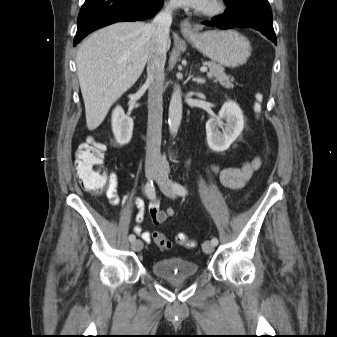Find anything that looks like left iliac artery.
Masks as SVG:
<instances>
[{
  "mask_svg": "<svg viewBox=\"0 0 337 337\" xmlns=\"http://www.w3.org/2000/svg\"><path fill=\"white\" fill-rule=\"evenodd\" d=\"M173 190L175 191V193H177L178 195H186L187 194V190L186 188L181 185L180 183L174 182L173 184ZM212 244L214 246H216L218 244V239L216 237H213L211 240Z\"/></svg>",
  "mask_w": 337,
  "mask_h": 337,
  "instance_id": "obj_1",
  "label": "left iliac artery"
}]
</instances>
